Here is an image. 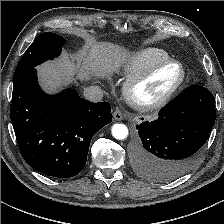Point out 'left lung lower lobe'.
I'll list each match as a JSON object with an SVG mask.
<instances>
[{"instance_id": "obj_1", "label": "left lung lower lobe", "mask_w": 224, "mask_h": 224, "mask_svg": "<svg viewBox=\"0 0 224 224\" xmlns=\"http://www.w3.org/2000/svg\"><path fill=\"white\" fill-rule=\"evenodd\" d=\"M214 122L212 93L200 85L187 87L159 111L156 120L136 125V173L155 182H168L183 175L197 162Z\"/></svg>"}]
</instances>
